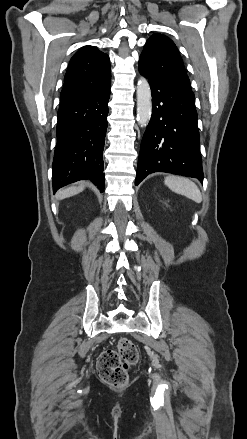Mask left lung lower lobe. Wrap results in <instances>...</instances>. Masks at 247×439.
Returning a JSON list of instances; mask_svg holds the SVG:
<instances>
[{"instance_id": "obj_1", "label": "left lung lower lobe", "mask_w": 247, "mask_h": 439, "mask_svg": "<svg viewBox=\"0 0 247 439\" xmlns=\"http://www.w3.org/2000/svg\"><path fill=\"white\" fill-rule=\"evenodd\" d=\"M139 71L152 91V117L142 139L135 185L148 174L168 172L203 181L194 95L149 72Z\"/></svg>"}]
</instances>
